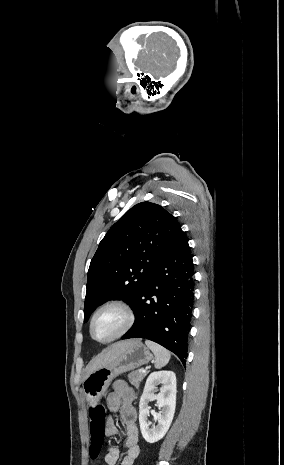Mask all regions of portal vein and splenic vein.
Instances as JSON below:
<instances>
[{
    "instance_id": "portal-vein-and-splenic-vein-1",
    "label": "portal vein and splenic vein",
    "mask_w": 284,
    "mask_h": 465,
    "mask_svg": "<svg viewBox=\"0 0 284 465\" xmlns=\"http://www.w3.org/2000/svg\"><path fill=\"white\" fill-rule=\"evenodd\" d=\"M139 373H146V371H144V369H139Z\"/></svg>"
}]
</instances>
